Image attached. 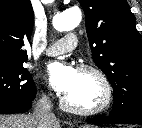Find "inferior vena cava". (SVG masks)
Segmentation results:
<instances>
[{
	"label": "inferior vena cava",
	"instance_id": "obj_1",
	"mask_svg": "<svg viewBox=\"0 0 142 128\" xmlns=\"http://www.w3.org/2000/svg\"><path fill=\"white\" fill-rule=\"evenodd\" d=\"M33 117L37 128H53L58 121L52 111V104L48 97L43 96L34 107Z\"/></svg>",
	"mask_w": 142,
	"mask_h": 128
}]
</instances>
